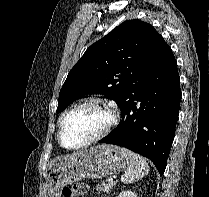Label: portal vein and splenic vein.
<instances>
[{
  "label": "portal vein and splenic vein",
  "mask_w": 209,
  "mask_h": 197,
  "mask_svg": "<svg viewBox=\"0 0 209 197\" xmlns=\"http://www.w3.org/2000/svg\"><path fill=\"white\" fill-rule=\"evenodd\" d=\"M107 181H108V183H114L112 178H109Z\"/></svg>",
  "instance_id": "portal-vein-and-splenic-vein-1"
}]
</instances>
